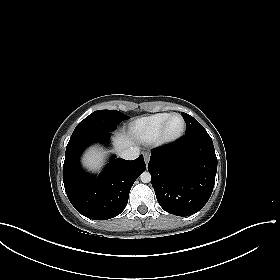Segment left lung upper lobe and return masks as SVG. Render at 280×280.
Masks as SVG:
<instances>
[{"label":"left lung upper lobe","instance_id":"1","mask_svg":"<svg viewBox=\"0 0 280 280\" xmlns=\"http://www.w3.org/2000/svg\"><path fill=\"white\" fill-rule=\"evenodd\" d=\"M181 114L186 122V135L207 133L204 127L199 122H197L192 116L183 112Z\"/></svg>","mask_w":280,"mask_h":280}]
</instances>
